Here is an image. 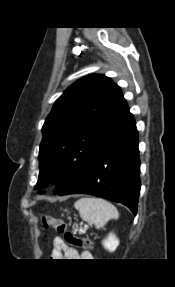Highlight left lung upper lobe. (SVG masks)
Instances as JSON below:
<instances>
[{"instance_id":"obj_1","label":"left lung upper lobe","mask_w":175,"mask_h":287,"mask_svg":"<svg viewBox=\"0 0 175 287\" xmlns=\"http://www.w3.org/2000/svg\"><path fill=\"white\" fill-rule=\"evenodd\" d=\"M132 117L120 87L105 75L92 74L73 83L56 100L43 125L35 188L53 182L54 193H60Z\"/></svg>"}]
</instances>
